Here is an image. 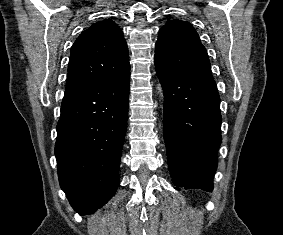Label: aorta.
<instances>
[{
    "label": "aorta",
    "instance_id": "obj_1",
    "mask_svg": "<svg viewBox=\"0 0 283 235\" xmlns=\"http://www.w3.org/2000/svg\"><path fill=\"white\" fill-rule=\"evenodd\" d=\"M159 90H160V92L162 91V90H161V87H159Z\"/></svg>",
    "mask_w": 283,
    "mask_h": 235
}]
</instances>
